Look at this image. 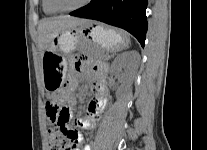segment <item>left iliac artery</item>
<instances>
[{
    "instance_id": "obj_1",
    "label": "left iliac artery",
    "mask_w": 207,
    "mask_h": 150,
    "mask_svg": "<svg viewBox=\"0 0 207 150\" xmlns=\"http://www.w3.org/2000/svg\"><path fill=\"white\" fill-rule=\"evenodd\" d=\"M84 150H91V149H90V146H89V145H86V146L84 147Z\"/></svg>"
}]
</instances>
